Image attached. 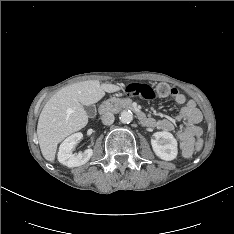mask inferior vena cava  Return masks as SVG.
I'll return each mask as SVG.
<instances>
[{
    "label": "inferior vena cava",
    "mask_w": 234,
    "mask_h": 234,
    "mask_svg": "<svg viewBox=\"0 0 234 234\" xmlns=\"http://www.w3.org/2000/svg\"><path fill=\"white\" fill-rule=\"evenodd\" d=\"M114 115L111 112L104 113L101 117L102 123L105 125H111L114 122Z\"/></svg>",
    "instance_id": "1"
}]
</instances>
